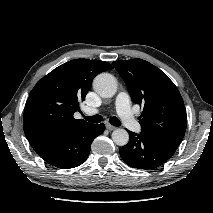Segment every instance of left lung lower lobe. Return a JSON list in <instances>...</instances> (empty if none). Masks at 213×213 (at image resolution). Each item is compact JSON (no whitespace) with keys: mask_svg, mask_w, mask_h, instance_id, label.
<instances>
[{"mask_svg":"<svg viewBox=\"0 0 213 213\" xmlns=\"http://www.w3.org/2000/svg\"><path fill=\"white\" fill-rule=\"evenodd\" d=\"M128 144L120 148V156L132 168L154 169L165 163L177 147L151 139L145 134L128 131Z\"/></svg>","mask_w":213,"mask_h":213,"instance_id":"left-lung-lower-lobe-1","label":"left lung lower lobe"}]
</instances>
